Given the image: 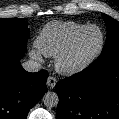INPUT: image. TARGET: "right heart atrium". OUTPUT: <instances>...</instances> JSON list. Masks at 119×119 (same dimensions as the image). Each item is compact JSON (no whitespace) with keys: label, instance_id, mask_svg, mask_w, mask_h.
Listing matches in <instances>:
<instances>
[{"label":"right heart atrium","instance_id":"1","mask_svg":"<svg viewBox=\"0 0 119 119\" xmlns=\"http://www.w3.org/2000/svg\"><path fill=\"white\" fill-rule=\"evenodd\" d=\"M31 55H32V57H34L36 59H40L41 58L40 52L37 51V50H32L31 51Z\"/></svg>","mask_w":119,"mask_h":119}]
</instances>
